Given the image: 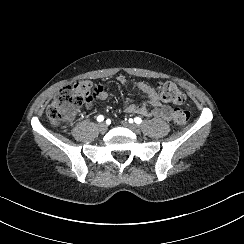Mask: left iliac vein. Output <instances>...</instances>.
I'll return each mask as SVG.
<instances>
[{"mask_svg":"<svg viewBox=\"0 0 244 244\" xmlns=\"http://www.w3.org/2000/svg\"><path fill=\"white\" fill-rule=\"evenodd\" d=\"M121 125H123L124 127L129 128L130 130H132L134 133H138L140 131V128L138 125L134 124V123H129L127 121L122 120L121 121Z\"/></svg>","mask_w":244,"mask_h":244,"instance_id":"left-iliac-vein-1","label":"left iliac vein"}]
</instances>
